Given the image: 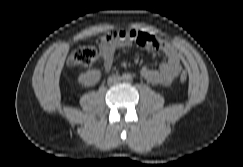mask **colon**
I'll use <instances>...</instances> for the list:
<instances>
[{"label": "colon", "mask_w": 243, "mask_h": 167, "mask_svg": "<svg viewBox=\"0 0 243 167\" xmlns=\"http://www.w3.org/2000/svg\"><path fill=\"white\" fill-rule=\"evenodd\" d=\"M124 34L121 31H111L100 37L97 44L101 46H109L118 43ZM98 59V52L94 47L84 46L75 50L68 59V66L72 69H82L92 65ZM181 82L188 80L187 73L183 72L179 76Z\"/></svg>", "instance_id": "5ec220e1"}]
</instances>
